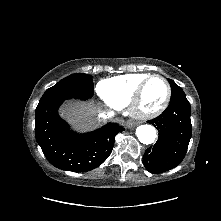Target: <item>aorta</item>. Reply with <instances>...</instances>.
I'll list each match as a JSON object with an SVG mask.
<instances>
[{"label": "aorta", "instance_id": "obj_1", "mask_svg": "<svg viewBox=\"0 0 221 221\" xmlns=\"http://www.w3.org/2000/svg\"><path fill=\"white\" fill-rule=\"evenodd\" d=\"M136 135L139 141L145 145L152 144L156 137V129L148 124L140 125L136 129Z\"/></svg>", "mask_w": 221, "mask_h": 221}]
</instances>
